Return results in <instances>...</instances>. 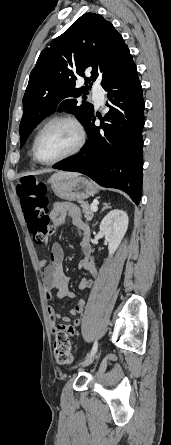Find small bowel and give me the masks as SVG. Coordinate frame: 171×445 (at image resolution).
Masks as SVG:
<instances>
[{"instance_id": "small-bowel-1", "label": "small bowel", "mask_w": 171, "mask_h": 445, "mask_svg": "<svg viewBox=\"0 0 171 445\" xmlns=\"http://www.w3.org/2000/svg\"><path fill=\"white\" fill-rule=\"evenodd\" d=\"M67 214H69L71 220L76 225L80 237V245L84 255L80 268L92 275V279L83 278L80 281L79 289L90 290L95 283L97 271L90 245L89 229L82 223L79 210L74 204L68 202H56L53 204L52 221L55 226L62 225ZM64 256L65 253L63 247L58 242H54L51 247L50 256L39 262V266L42 269L43 289L48 300L53 297L58 300L64 298H77V295L68 288L69 279L63 267ZM84 309L85 300L78 298L74 306L71 308L70 313L73 316H77L81 314ZM47 313L54 335L59 330L66 331L70 335L76 334L77 328L81 324L80 319H75L74 322L70 324V318L68 316L60 315L52 306H48Z\"/></svg>"}]
</instances>
